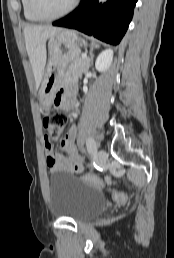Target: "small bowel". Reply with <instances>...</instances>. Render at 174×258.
Returning <instances> with one entry per match:
<instances>
[{
  "instance_id": "c3829d8e",
  "label": "small bowel",
  "mask_w": 174,
  "mask_h": 258,
  "mask_svg": "<svg viewBox=\"0 0 174 258\" xmlns=\"http://www.w3.org/2000/svg\"><path fill=\"white\" fill-rule=\"evenodd\" d=\"M74 87L69 86L64 90L59 91L54 98V103L57 106H65L70 110V115H75L73 105ZM77 134V126L70 127L68 133L60 144L62 153L54 150L53 144L47 137L44 139L45 161L51 173L66 171L73 174L83 173L84 157L77 151L75 139ZM106 178V175H103ZM111 184H120V179H111Z\"/></svg>"
}]
</instances>
